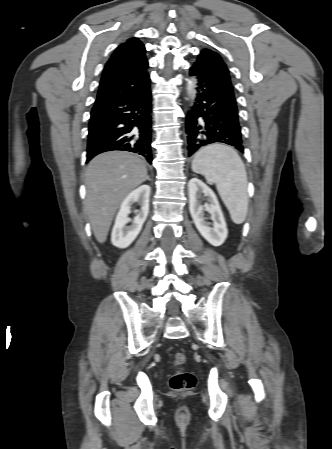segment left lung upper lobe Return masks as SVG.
Here are the masks:
<instances>
[{
	"instance_id": "1",
	"label": "left lung upper lobe",
	"mask_w": 332,
	"mask_h": 449,
	"mask_svg": "<svg viewBox=\"0 0 332 449\" xmlns=\"http://www.w3.org/2000/svg\"><path fill=\"white\" fill-rule=\"evenodd\" d=\"M196 63L208 65L218 70L230 81L228 69L218 53L211 51L209 49H204L198 56Z\"/></svg>"
}]
</instances>
